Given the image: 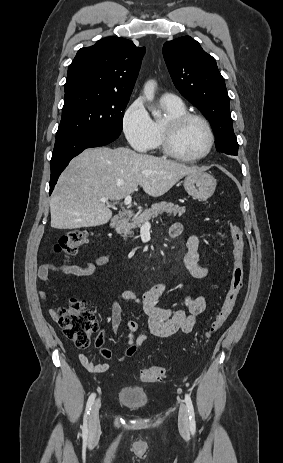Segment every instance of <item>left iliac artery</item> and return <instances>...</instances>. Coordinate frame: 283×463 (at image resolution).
Listing matches in <instances>:
<instances>
[{
  "mask_svg": "<svg viewBox=\"0 0 283 463\" xmlns=\"http://www.w3.org/2000/svg\"><path fill=\"white\" fill-rule=\"evenodd\" d=\"M185 402H186V406H187L188 414H189L190 430H191L192 434H194L195 430H196V422H195L194 408H193V404H192V400L190 398V395H188V394L185 395Z\"/></svg>",
  "mask_w": 283,
  "mask_h": 463,
  "instance_id": "1",
  "label": "left iliac artery"
}]
</instances>
